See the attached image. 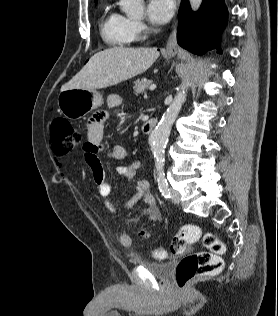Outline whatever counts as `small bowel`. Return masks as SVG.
Returning <instances> with one entry per match:
<instances>
[{
  "instance_id": "c3829d8e",
  "label": "small bowel",
  "mask_w": 278,
  "mask_h": 316,
  "mask_svg": "<svg viewBox=\"0 0 278 316\" xmlns=\"http://www.w3.org/2000/svg\"><path fill=\"white\" fill-rule=\"evenodd\" d=\"M107 104L110 108H119L122 105V98L119 95L111 94L107 98ZM107 115L104 112L95 114L87 124V141L81 150V156L91 170L94 183L98 193L105 200V206L111 212L118 209L117 204L110 198L111 184L105 176V171L100 160V155L113 160H123L127 157L125 147L117 145L111 149H107L103 143L104 125ZM142 161L137 160L130 165H122L116 167V172L130 181L135 189V194L123 203L122 208L128 209L134 206L138 201L143 200L147 206L149 220L158 221L161 217L160 209L156 203L154 195L151 193V185L148 180L137 179V170L141 167ZM110 227L113 225L110 223ZM114 234L118 241L126 247L132 245V239L125 233L113 228Z\"/></svg>"
}]
</instances>
